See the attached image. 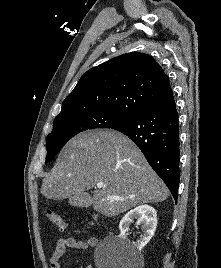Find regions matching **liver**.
I'll return each instance as SVG.
<instances>
[{
    "mask_svg": "<svg viewBox=\"0 0 221 268\" xmlns=\"http://www.w3.org/2000/svg\"><path fill=\"white\" fill-rule=\"evenodd\" d=\"M98 184L103 187L99 189ZM90 189H95L90 200L94 210L107 217L169 196L165 183L140 149L114 130L88 131L72 138L43 179L41 194L47 199H68L76 205L85 202L82 195Z\"/></svg>",
    "mask_w": 221,
    "mask_h": 268,
    "instance_id": "liver-1",
    "label": "liver"
}]
</instances>
